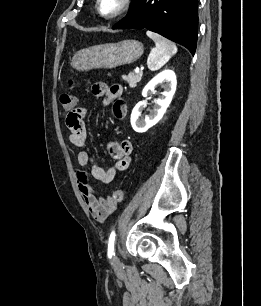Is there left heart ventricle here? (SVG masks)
Returning <instances> with one entry per match:
<instances>
[{
	"label": "left heart ventricle",
	"mask_w": 261,
	"mask_h": 306,
	"mask_svg": "<svg viewBox=\"0 0 261 306\" xmlns=\"http://www.w3.org/2000/svg\"><path fill=\"white\" fill-rule=\"evenodd\" d=\"M120 0H102L100 7L102 12L110 14L114 12L119 6Z\"/></svg>",
	"instance_id": "b2bd125f"
}]
</instances>
